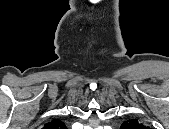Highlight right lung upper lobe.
<instances>
[{
	"label": "right lung upper lobe",
	"mask_w": 169,
	"mask_h": 129,
	"mask_svg": "<svg viewBox=\"0 0 169 129\" xmlns=\"http://www.w3.org/2000/svg\"><path fill=\"white\" fill-rule=\"evenodd\" d=\"M45 128H47V129H65L66 126L61 120L54 119L51 122L47 123L45 125Z\"/></svg>",
	"instance_id": "obj_1"
}]
</instances>
